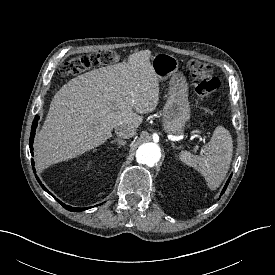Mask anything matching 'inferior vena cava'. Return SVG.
Listing matches in <instances>:
<instances>
[{
  "mask_svg": "<svg viewBox=\"0 0 275 275\" xmlns=\"http://www.w3.org/2000/svg\"><path fill=\"white\" fill-rule=\"evenodd\" d=\"M115 133L120 138L128 139L136 135V129L130 125H120L115 127Z\"/></svg>",
  "mask_w": 275,
  "mask_h": 275,
  "instance_id": "obj_1",
  "label": "inferior vena cava"
}]
</instances>
